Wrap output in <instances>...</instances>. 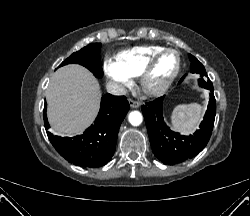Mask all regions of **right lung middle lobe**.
<instances>
[{
    "mask_svg": "<svg viewBox=\"0 0 250 216\" xmlns=\"http://www.w3.org/2000/svg\"><path fill=\"white\" fill-rule=\"evenodd\" d=\"M100 43L89 44L81 50L73 53L60 66L77 63L88 68L95 77L101 78L103 70L100 63Z\"/></svg>",
    "mask_w": 250,
    "mask_h": 216,
    "instance_id": "dd1d6c3e",
    "label": "right lung middle lobe"
}]
</instances>
